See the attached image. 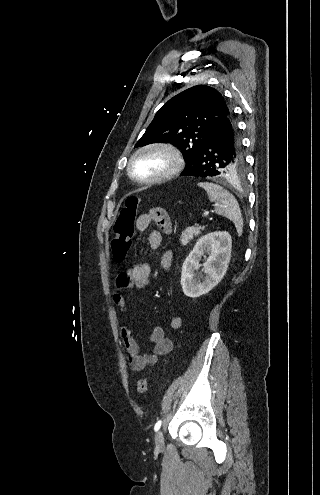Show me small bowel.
<instances>
[{"mask_svg": "<svg viewBox=\"0 0 320 495\" xmlns=\"http://www.w3.org/2000/svg\"><path fill=\"white\" fill-rule=\"evenodd\" d=\"M152 224L160 227L161 231H152L148 241L150 252L148 258L160 247L162 233H170L171 222L167 213L163 209L154 208L149 212L140 215L137 219V228L140 231L147 230ZM173 258L171 252L163 253L161 257V267L168 272L172 268ZM151 266L149 260L137 263L124 273L119 274L115 279L116 290L113 294L114 303L119 306L122 313L127 311V305L123 291L128 289H144L150 284ZM170 328L178 330L183 325V318L180 315L174 316L170 320ZM121 337L127 352L130 366L135 371H141L147 366L157 363L159 357L169 354L173 349V341L167 337L163 329L159 326L153 328L149 340L153 344L150 353H141L139 343L133 330L129 326L121 328Z\"/></svg>", "mask_w": 320, "mask_h": 495, "instance_id": "c3829d8e", "label": "small bowel"}]
</instances>
